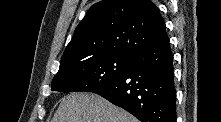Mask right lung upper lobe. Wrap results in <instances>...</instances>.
<instances>
[{
    "label": "right lung upper lobe",
    "instance_id": "obj_1",
    "mask_svg": "<svg viewBox=\"0 0 221 122\" xmlns=\"http://www.w3.org/2000/svg\"><path fill=\"white\" fill-rule=\"evenodd\" d=\"M165 33L150 0H103L76 27L58 73L80 62L108 55L134 57Z\"/></svg>",
    "mask_w": 221,
    "mask_h": 122
}]
</instances>
